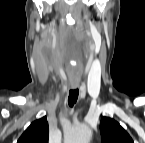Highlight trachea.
<instances>
[{"label":"trachea","mask_w":145,"mask_h":143,"mask_svg":"<svg viewBox=\"0 0 145 143\" xmlns=\"http://www.w3.org/2000/svg\"><path fill=\"white\" fill-rule=\"evenodd\" d=\"M79 91L78 89H72L69 91V97H68V104L70 107H73L78 99Z\"/></svg>","instance_id":"3493384b"}]
</instances>
